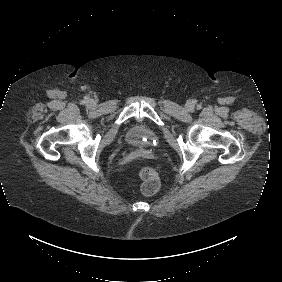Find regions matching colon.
<instances>
[{
	"instance_id": "obj_1",
	"label": "colon",
	"mask_w": 282,
	"mask_h": 282,
	"mask_svg": "<svg viewBox=\"0 0 282 282\" xmlns=\"http://www.w3.org/2000/svg\"><path fill=\"white\" fill-rule=\"evenodd\" d=\"M142 180L141 191L145 195L155 194L161 184V179L158 172L151 167H143L139 171Z\"/></svg>"
}]
</instances>
